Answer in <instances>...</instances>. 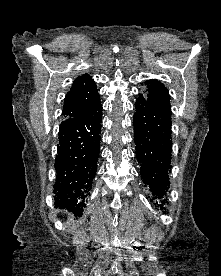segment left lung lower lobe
I'll list each match as a JSON object with an SVG mask.
<instances>
[{"label":"left lung lower lobe","mask_w":221,"mask_h":276,"mask_svg":"<svg viewBox=\"0 0 221 276\" xmlns=\"http://www.w3.org/2000/svg\"><path fill=\"white\" fill-rule=\"evenodd\" d=\"M135 108L134 140L141 177L153 197L162 199L170 186L171 114L152 105L143 94H139ZM164 203L165 200L160 205L161 210H165Z\"/></svg>","instance_id":"0a47b994"}]
</instances>
